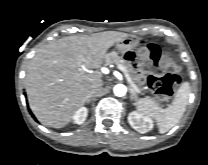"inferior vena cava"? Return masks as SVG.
I'll list each match as a JSON object with an SVG mask.
<instances>
[{"instance_id":"obj_1","label":"inferior vena cava","mask_w":208,"mask_h":165,"mask_svg":"<svg viewBox=\"0 0 208 165\" xmlns=\"http://www.w3.org/2000/svg\"><path fill=\"white\" fill-rule=\"evenodd\" d=\"M102 85H103L102 81H97L92 83L88 88L89 94L96 93L102 87Z\"/></svg>"}]
</instances>
